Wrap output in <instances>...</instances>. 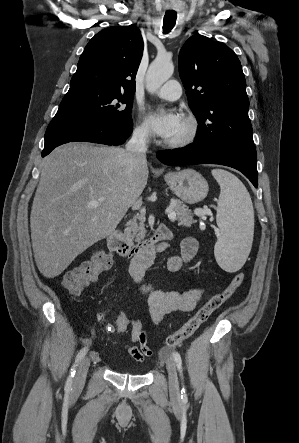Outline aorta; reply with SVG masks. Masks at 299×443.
<instances>
[{
	"mask_svg": "<svg viewBox=\"0 0 299 443\" xmlns=\"http://www.w3.org/2000/svg\"><path fill=\"white\" fill-rule=\"evenodd\" d=\"M174 65L167 57L157 56L150 64L146 74V88L154 93L165 83L173 74Z\"/></svg>",
	"mask_w": 299,
	"mask_h": 443,
	"instance_id": "1",
	"label": "aorta"
}]
</instances>
